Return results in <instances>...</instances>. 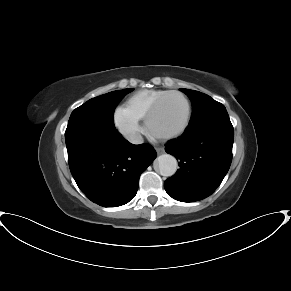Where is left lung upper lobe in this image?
<instances>
[{
    "label": "left lung upper lobe",
    "instance_id": "left-lung-upper-lobe-1",
    "mask_svg": "<svg viewBox=\"0 0 291 291\" xmlns=\"http://www.w3.org/2000/svg\"><path fill=\"white\" fill-rule=\"evenodd\" d=\"M181 91L192 101L193 112L188 126H193L215 114L226 111L223 104L204 93L184 88Z\"/></svg>",
    "mask_w": 291,
    "mask_h": 291
}]
</instances>
